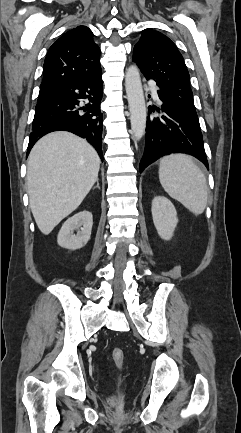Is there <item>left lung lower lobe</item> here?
I'll return each mask as SVG.
<instances>
[{
    "instance_id": "obj_1",
    "label": "left lung lower lobe",
    "mask_w": 241,
    "mask_h": 433,
    "mask_svg": "<svg viewBox=\"0 0 241 433\" xmlns=\"http://www.w3.org/2000/svg\"><path fill=\"white\" fill-rule=\"evenodd\" d=\"M161 104L148 107L145 149L139 164L142 172L158 158L171 153L195 156L208 167L200 127L190 121L165 95L157 91ZM157 112L154 116H150Z\"/></svg>"
}]
</instances>
